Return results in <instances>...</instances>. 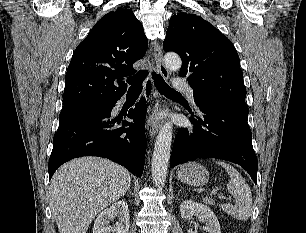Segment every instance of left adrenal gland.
Masks as SVG:
<instances>
[{
	"label": "left adrenal gland",
	"instance_id": "left-adrenal-gland-1",
	"mask_svg": "<svg viewBox=\"0 0 306 233\" xmlns=\"http://www.w3.org/2000/svg\"><path fill=\"white\" fill-rule=\"evenodd\" d=\"M183 190V188H181L179 191H182Z\"/></svg>",
	"mask_w": 306,
	"mask_h": 233
}]
</instances>
